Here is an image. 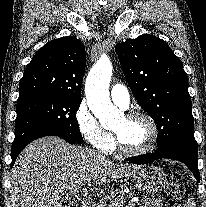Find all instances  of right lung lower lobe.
Listing matches in <instances>:
<instances>
[{"label": "right lung lower lobe", "instance_id": "obj_1", "mask_svg": "<svg viewBox=\"0 0 206 207\" xmlns=\"http://www.w3.org/2000/svg\"><path fill=\"white\" fill-rule=\"evenodd\" d=\"M44 136H59L61 138H63L64 140H66L67 142L73 144V143H76V141H73L71 139H68L64 136H61V135H58V134H52V133H49V134H42V135H39V136H36L34 137L33 139L29 140L28 142L22 144L21 146H19L18 148H15V149H12V162H11V165L10 167L13 166L17 156L19 155V153L22 151V149L28 145L30 142H32L33 140L37 139V138H40V137H44Z\"/></svg>", "mask_w": 206, "mask_h": 207}]
</instances>
